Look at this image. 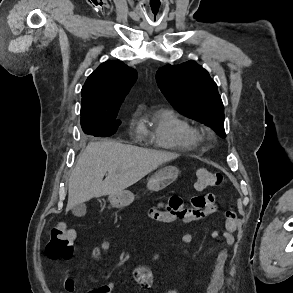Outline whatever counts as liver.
Segmentation results:
<instances>
[{"instance_id":"liver-1","label":"liver","mask_w":293,"mask_h":293,"mask_svg":"<svg viewBox=\"0 0 293 293\" xmlns=\"http://www.w3.org/2000/svg\"><path fill=\"white\" fill-rule=\"evenodd\" d=\"M178 156L113 141L91 142L71 172L66 212L94 197L122 192Z\"/></svg>"}]
</instances>
